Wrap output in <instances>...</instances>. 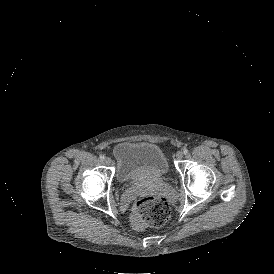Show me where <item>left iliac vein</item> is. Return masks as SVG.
Here are the masks:
<instances>
[{
  "mask_svg": "<svg viewBox=\"0 0 274 274\" xmlns=\"http://www.w3.org/2000/svg\"><path fill=\"white\" fill-rule=\"evenodd\" d=\"M183 158V152L182 151H178L177 153H176V159L177 160H181Z\"/></svg>",
  "mask_w": 274,
  "mask_h": 274,
  "instance_id": "1",
  "label": "left iliac vein"
}]
</instances>
